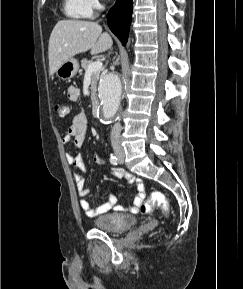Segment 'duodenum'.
Here are the masks:
<instances>
[{"instance_id":"410a0bca","label":"duodenum","mask_w":243,"mask_h":289,"mask_svg":"<svg viewBox=\"0 0 243 289\" xmlns=\"http://www.w3.org/2000/svg\"><path fill=\"white\" fill-rule=\"evenodd\" d=\"M92 113L95 117L100 115V102L97 99L92 102Z\"/></svg>"}]
</instances>
